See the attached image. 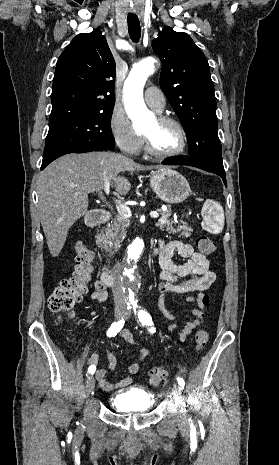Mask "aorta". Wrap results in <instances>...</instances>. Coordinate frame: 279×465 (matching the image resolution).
<instances>
[{
    "label": "aorta",
    "mask_w": 279,
    "mask_h": 465,
    "mask_svg": "<svg viewBox=\"0 0 279 465\" xmlns=\"http://www.w3.org/2000/svg\"><path fill=\"white\" fill-rule=\"evenodd\" d=\"M154 62L153 58H147L135 64L124 82V106L133 122L135 130L142 129L152 116L144 103L143 89L149 75L154 71ZM143 247V240L136 238L128 247L126 254L124 281L131 288V299H134V292L132 290L137 284L135 274L136 263L142 253Z\"/></svg>",
    "instance_id": "762f6f07"
}]
</instances>
